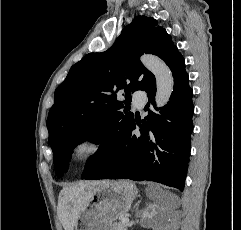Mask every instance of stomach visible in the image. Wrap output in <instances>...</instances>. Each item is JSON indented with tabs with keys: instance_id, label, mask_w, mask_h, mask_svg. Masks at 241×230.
<instances>
[{
	"instance_id": "obj_1",
	"label": "stomach",
	"mask_w": 241,
	"mask_h": 230,
	"mask_svg": "<svg viewBox=\"0 0 241 230\" xmlns=\"http://www.w3.org/2000/svg\"><path fill=\"white\" fill-rule=\"evenodd\" d=\"M136 195V187L128 181L95 183L90 200L78 215L75 230H112L113 222L130 210Z\"/></svg>"
}]
</instances>
